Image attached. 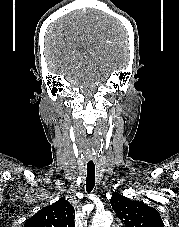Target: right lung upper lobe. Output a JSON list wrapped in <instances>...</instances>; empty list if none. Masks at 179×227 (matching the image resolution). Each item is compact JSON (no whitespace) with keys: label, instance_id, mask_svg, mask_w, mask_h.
I'll list each match as a JSON object with an SVG mask.
<instances>
[{"label":"right lung upper lobe","instance_id":"1","mask_svg":"<svg viewBox=\"0 0 179 227\" xmlns=\"http://www.w3.org/2000/svg\"><path fill=\"white\" fill-rule=\"evenodd\" d=\"M74 216L73 206L62 198L27 219L24 227H74Z\"/></svg>","mask_w":179,"mask_h":227}]
</instances>
